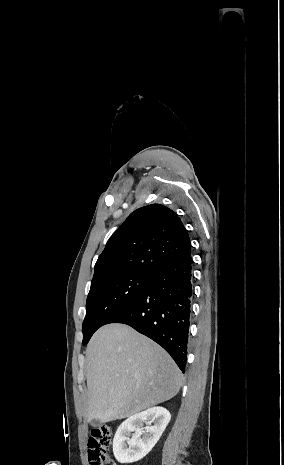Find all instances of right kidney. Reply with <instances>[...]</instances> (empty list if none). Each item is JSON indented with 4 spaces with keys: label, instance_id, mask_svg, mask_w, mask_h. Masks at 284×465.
<instances>
[{
    "label": "right kidney",
    "instance_id": "1",
    "mask_svg": "<svg viewBox=\"0 0 284 465\" xmlns=\"http://www.w3.org/2000/svg\"><path fill=\"white\" fill-rule=\"evenodd\" d=\"M171 415L164 407H152L142 413L132 415L118 427L113 439V453L119 463H136L143 459L164 433ZM152 425L148 429H140ZM131 433H134L131 437ZM143 435V437H142ZM131 437V439H128ZM127 445H126V443Z\"/></svg>",
    "mask_w": 284,
    "mask_h": 465
}]
</instances>
